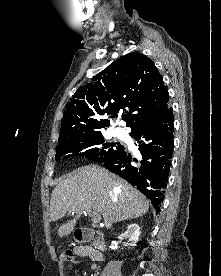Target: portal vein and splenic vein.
I'll list each match as a JSON object with an SVG mask.
<instances>
[{
  "label": "portal vein and splenic vein",
  "instance_id": "obj_1",
  "mask_svg": "<svg viewBox=\"0 0 221 276\" xmlns=\"http://www.w3.org/2000/svg\"><path fill=\"white\" fill-rule=\"evenodd\" d=\"M87 213L92 218L93 223H99L101 221V216L98 213L93 211H88Z\"/></svg>",
  "mask_w": 221,
  "mask_h": 276
}]
</instances>
